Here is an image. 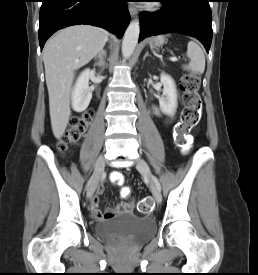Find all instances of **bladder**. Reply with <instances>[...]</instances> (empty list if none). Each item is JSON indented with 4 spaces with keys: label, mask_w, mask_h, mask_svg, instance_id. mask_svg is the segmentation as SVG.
<instances>
[{
    "label": "bladder",
    "mask_w": 258,
    "mask_h": 275,
    "mask_svg": "<svg viewBox=\"0 0 258 275\" xmlns=\"http://www.w3.org/2000/svg\"><path fill=\"white\" fill-rule=\"evenodd\" d=\"M94 231L101 238L124 235L135 242H143L154 236L156 224L152 217L139 216L128 212L97 221Z\"/></svg>",
    "instance_id": "bladder-1"
}]
</instances>
